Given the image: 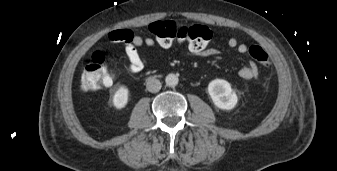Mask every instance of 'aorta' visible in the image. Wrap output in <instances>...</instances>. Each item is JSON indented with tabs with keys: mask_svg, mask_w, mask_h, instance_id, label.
I'll return each mask as SVG.
<instances>
[{
	"mask_svg": "<svg viewBox=\"0 0 337 171\" xmlns=\"http://www.w3.org/2000/svg\"><path fill=\"white\" fill-rule=\"evenodd\" d=\"M179 82V79H178V76L171 73V74H168L165 78V83L167 86H170V87H175Z\"/></svg>",
	"mask_w": 337,
	"mask_h": 171,
	"instance_id": "aorta-1",
	"label": "aorta"
}]
</instances>
